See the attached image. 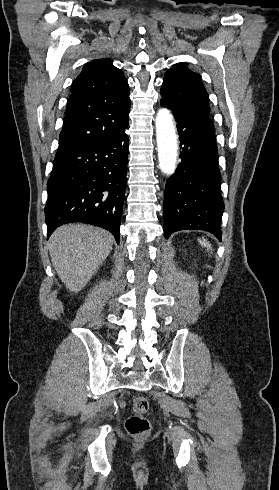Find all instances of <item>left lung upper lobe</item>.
<instances>
[{"label":"left lung upper lobe","mask_w":279,"mask_h":490,"mask_svg":"<svg viewBox=\"0 0 279 490\" xmlns=\"http://www.w3.org/2000/svg\"><path fill=\"white\" fill-rule=\"evenodd\" d=\"M162 100L170 106L199 117L211 118L209 96L201 76L187 69L184 63L169 69L160 90Z\"/></svg>","instance_id":"left-lung-upper-lobe-1"}]
</instances>
